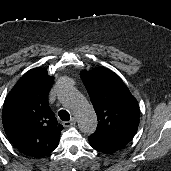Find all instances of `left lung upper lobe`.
I'll use <instances>...</instances> for the list:
<instances>
[{
  "instance_id": "1",
  "label": "left lung upper lobe",
  "mask_w": 171,
  "mask_h": 171,
  "mask_svg": "<svg viewBox=\"0 0 171 171\" xmlns=\"http://www.w3.org/2000/svg\"><path fill=\"white\" fill-rule=\"evenodd\" d=\"M81 78L98 118V126L88 138L115 149L134 137L140 110L124 82L111 70L97 67L82 71Z\"/></svg>"
}]
</instances>
